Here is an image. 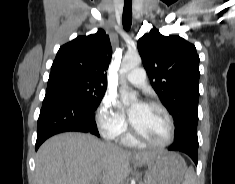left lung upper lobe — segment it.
I'll list each match as a JSON object with an SVG mask.
<instances>
[{
  "instance_id": "left-lung-upper-lobe-1",
  "label": "left lung upper lobe",
  "mask_w": 235,
  "mask_h": 184,
  "mask_svg": "<svg viewBox=\"0 0 235 184\" xmlns=\"http://www.w3.org/2000/svg\"><path fill=\"white\" fill-rule=\"evenodd\" d=\"M151 84L173 116L175 140L198 142L199 56L193 44L154 28L138 41Z\"/></svg>"
}]
</instances>
